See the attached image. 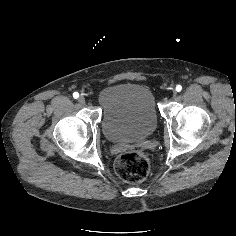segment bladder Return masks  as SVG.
<instances>
[{
	"label": "bladder",
	"mask_w": 236,
	"mask_h": 236,
	"mask_svg": "<svg viewBox=\"0 0 236 236\" xmlns=\"http://www.w3.org/2000/svg\"><path fill=\"white\" fill-rule=\"evenodd\" d=\"M101 127L112 143L132 142L151 136L158 126V110L153 92L137 83H118L101 91Z\"/></svg>",
	"instance_id": "31cf9c89"
}]
</instances>
